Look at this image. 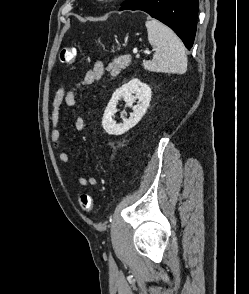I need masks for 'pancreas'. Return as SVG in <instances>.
<instances>
[{
  "label": "pancreas",
  "mask_w": 249,
  "mask_h": 294,
  "mask_svg": "<svg viewBox=\"0 0 249 294\" xmlns=\"http://www.w3.org/2000/svg\"><path fill=\"white\" fill-rule=\"evenodd\" d=\"M131 63L130 56H121L114 58L113 61L108 65L107 71L110 72L112 77H116L121 70H124Z\"/></svg>",
  "instance_id": "1"
}]
</instances>
